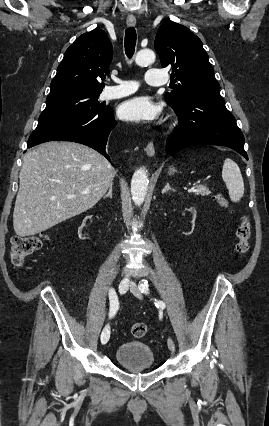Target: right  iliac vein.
Listing matches in <instances>:
<instances>
[{
  "instance_id": "1",
  "label": "right iliac vein",
  "mask_w": 269,
  "mask_h": 426,
  "mask_svg": "<svg viewBox=\"0 0 269 426\" xmlns=\"http://www.w3.org/2000/svg\"><path fill=\"white\" fill-rule=\"evenodd\" d=\"M128 284L129 283H128V281L126 279H123V280L120 281V283H119V291H120L121 294H123V293H125L127 291ZM109 338H110V326H109V324H107L103 328L102 333H101V338H100L101 343L103 345H105L109 341Z\"/></svg>"
}]
</instances>
